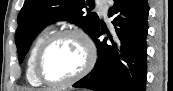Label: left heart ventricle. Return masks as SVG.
Instances as JSON below:
<instances>
[{
  "instance_id": "left-heart-ventricle-1",
  "label": "left heart ventricle",
  "mask_w": 173,
  "mask_h": 91,
  "mask_svg": "<svg viewBox=\"0 0 173 91\" xmlns=\"http://www.w3.org/2000/svg\"><path fill=\"white\" fill-rule=\"evenodd\" d=\"M86 50L80 39L65 36L54 41L42 59V73L50 81H62L84 66Z\"/></svg>"
}]
</instances>
